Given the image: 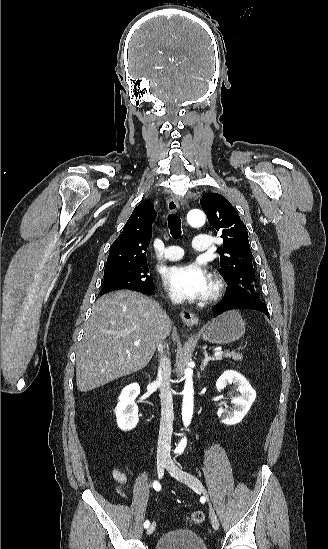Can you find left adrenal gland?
<instances>
[{
  "label": "left adrenal gland",
  "instance_id": "a2214340",
  "mask_svg": "<svg viewBox=\"0 0 328 549\" xmlns=\"http://www.w3.org/2000/svg\"><path fill=\"white\" fill-rule=\"evenodd\" d=\"M203 355H204V361H203V363L200 367L201 371H204V369H205L207 363H209V361H214V357H208L207 351H204Z\"/></svg>",
  "mask_w": 328,
  "mask_h": 549
}]
</instances>
